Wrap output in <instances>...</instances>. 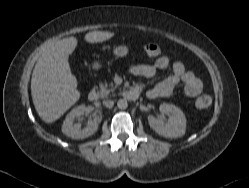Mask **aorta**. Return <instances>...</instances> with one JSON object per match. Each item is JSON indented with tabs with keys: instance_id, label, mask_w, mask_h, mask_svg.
I'll return each mask as SVG.
<instances>
[{
	"instance_id": "762f6f07",
	"label": "aorta",
	"mask_w": 249,
	"mask_h": 188,
	"mask_svg": "<svg viewBox=\"0 0 249 188\" xmlns=\"http://www.w3.org/2000/svg\"><path fill=\"white\" fill-rule=\"evenodd\" d=\"M117 106L119 109H126L128 107V102L126 99H119L117 102Z\"/></svg>"
}]
</instances>
